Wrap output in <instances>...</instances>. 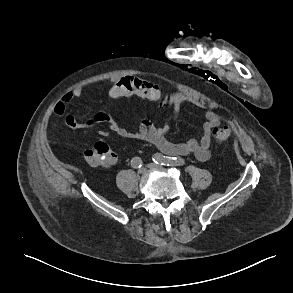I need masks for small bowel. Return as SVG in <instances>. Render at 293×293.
Returning a JSON list of instances; mask_svg holds the SVG:
<instances>
[{"label":"small bowel","instance_id":"c3829d8e","mask_svg":"<svg viewBox=\"0 0 293 293\" xmlns=\"http://www.w3.org/2000/svg\"><path fill=\"white\" fill-rule=\"evenodd\" d=\"M85 91V87L78 86L67 92L55 106L54 113L58 116H64L66 125L74 130L82 129L89 125L102 124L106 128L100 127L99 134L107 139H112L111 132L117 136L130 139L140 140L152 143L163 153L171 156L193 155L197 160L205 162L211 156V134L212 129L220 122L218 114L213 111L205 112V122L202 126L201 136L191 138L185 142L175 143L167 138L171 130V123L176 120L181 113L182 106L185 103H190L194 106L201 107V104L192 96L181 92H173L163 94L159 88L148 82L147 80L136 77H119L113 80L108 87V95L112 99H120L131 96H140L141 91H149L156 94V98L151 101L159 100L163 105H168L171 109L169 120L161 125L155 126L149 119L145 118L141 121L139 128L136 131H130L121 126L109 112H97L86 123L79 122L74 115L66 114V106L74 99L81 97ZM142 97V96H140ZM144 98V97H142ZM146 99V98H145ZM117 162V158L112 164L106 168H111Z\"/></svg>","mask_w":293,"mask_h":293}]
</instances>
